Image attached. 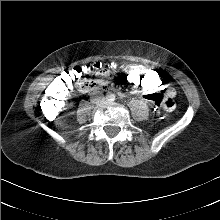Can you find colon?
I'll use <instances>...</instances> for the list:
<instances>
[{
	"mask_svg": "<svg viewBox=\"0 0 220 220\" xmlns=\"http://www.w3.org/2000/svg\"><path fill=\"white\" fill-rule=\"evenodd\" d=\"M95 64L98 63L88 66H76L57 76L53 86L41 99L44 112L57 113L69 94L79 90L81 86L79 78L86 81L90 74H93V77L96 76L93 69ZM103 67L106 66L103 65ZM123 77L128 85L135 90L147 93L158 92L148 95V101L157 107L155 113L158 119L164 121L170 118L171 110L174 108V94L172 91L165 92L170 86L167 76L159 74L156 69L147 68L141 64H132L124 69Z\"/></svg>",
	"mask_w": 220,
	"mask_h": 220,
	"instance_id": "obj_1",
	"label": "colon"
}]
</instances>
